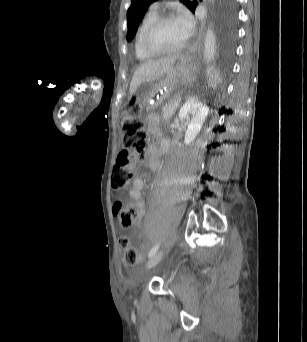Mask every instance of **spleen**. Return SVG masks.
Segmentation results:
<instances>
[{"label":"spleen","instance_id":"spleen-1","mask_svg":"<svg viewBox=\"0 0 307 342\" xmlns=\"http://www.w3.org/2000/svg\"><path fill=\"white\" fill-rule=\"evenodd\" d=\"M209 71H208V76L209 78V84H208V89L209 90H214L215 89V84H219L220 83V78L219 76V71L216 70V66L215 65H210L209 66Z\"/></svg>","mask_w":307,"mask_h":342}]
</instances>
